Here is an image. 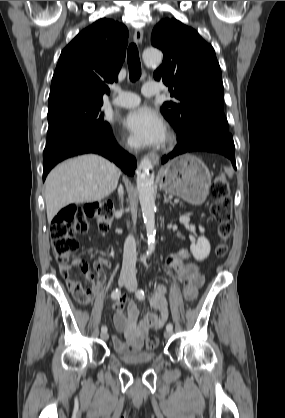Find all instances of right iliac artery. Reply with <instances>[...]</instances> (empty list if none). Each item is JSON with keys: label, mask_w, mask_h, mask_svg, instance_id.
<instances>
[{"label": "right iliac artery", "mask_w": 285, "mask_h": 418, "mask_svg": "<svg viewBox=\"0 0 285 418\" xmlns=\"http://www.w3.org/2000/svg\"><path fill=\"white\" fill-rule=\"evenodd\" d=\"M120 295H121V290L116 288L115 290H113V292L111 294V297H112V299L116 300V299H119ZM101 332H107V327L102 326L101 327Z\"/></svg>", "instance_id": "right-iliac-artery-1"}]
</instances>
